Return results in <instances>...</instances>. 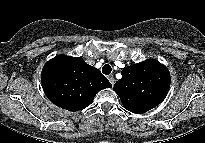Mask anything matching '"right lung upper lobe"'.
I'll return each instance as SVG.
<instances>
[{
    "mask_svg": "<svg viewBox=\"0 0 205 143\" xmlns=\"http://www.w3.org/2000/svg\"><path fill=\"white\" fill-rule=\"evenodd\" d=\"M41 82L48 99L69 111L86 108L100 90L112 87L98 69L85 63L81 57L63 54L44 65Z\"/></svg>",
    "mask_w": 205,
    "mask_h": 143,
    "instance_id": "obj_1",
    "label": "right lung upper lobe"
}]
</instances>
